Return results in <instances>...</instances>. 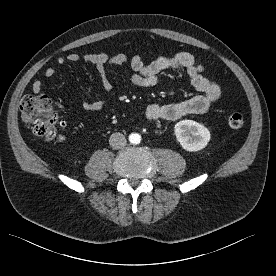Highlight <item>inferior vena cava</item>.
I'll return each mask as SVG.
<instances>
[{"mask_svg":"<svg viewBox=\"0 0 276 276\" xmlns=\"http://www.w3.org/2000/svg\"><path fill=\"white\" fill-rule=\"evenodd\" d=\"M126 138L122 133L116 132L110 136L109 144L113 149H121L126 145Z\"/></svg>","mask_w":276,"mask_h":276,"instance_id":"602c4592","label":"inferior vena cava"}]
</instances>
